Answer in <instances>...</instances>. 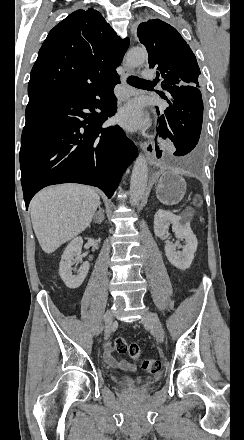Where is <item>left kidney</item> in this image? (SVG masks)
Segmentation results:
<instances>
[{
    "instance_id": "left-kidney-1",
    "label": "left kidney",
    "mask_w": 244,
    "mask_h": 440,
    "mask_svg": "<svg viewBox=\"0 0 244 440\" xmlns=\"http://www.w3.org/2000/svg\"><path fill=\"white\" fill-rule=\"evenodd\" d=\"M172 224L173 232H175L176 238L179 240H185V246H181L179 242L176 244H165V254L173 266L179 268V270H187L190 268L194 254L197 250L198 242L196 236H194L189 222L182 220L181 216H175L168 210H158L154 216V232L158 238H165V234H168V228ZM182 248V252H176V248Z\"/></svg>"
}]
</instances>
